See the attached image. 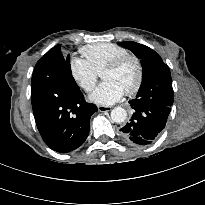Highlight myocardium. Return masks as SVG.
Wrapping results in <instances>:
<instances>
[{
	"label": "myocardium",
	"instance_id": "1",
	"mask_svg": "<svg viewBox=\"0 0 205 205\" xmlns=\"http://www.w3.org/2000/svg\"><path fill=\"white\" fill-rule=\"evenodd\" d=\"M128 62L134 63L136 67V78L132 86H130L127 90H125V92L127 95H134L139 91L142 85L143 79H144V67H143L141 60L137 56L127 54V55L118 57L115 60L108 63L103 68L102 72L107 71V70H117Z\"/></svg>",
	"mask_w": 205,
	"mask_h": 205
}]
</instances>
